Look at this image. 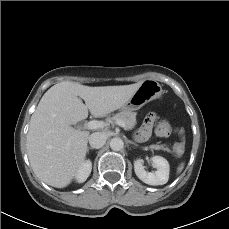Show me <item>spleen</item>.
Listing matches in <instances>:
<instances>
[{"label":"spleen","instance_id":"1","mask_svg":"<svg viewBox=\"0 0 229 229\" xmlns=\"http://www.w3.org/2000/svg\"><path fill=\"white\" fill-rule=\"evenodd\" d=\"M184 168V163H182L178 168H177V173H180Z\"/></svg>","mask_w":229,"mask_h":229}]
</instances>
